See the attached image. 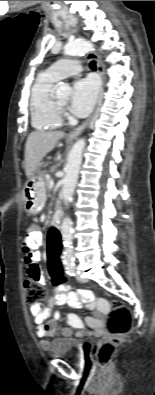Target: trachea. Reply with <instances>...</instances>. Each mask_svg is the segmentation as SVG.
Listing matches in <instances>:
<instances>
[{
	"mask_svg": "<svg viewBox=\"0 0 155 395\" xmlns=\"http://www.w3.org/2000/svg\"><path fill=\"white\" fill-rule=\"evenodd\" d=\"M90 68H91L92 70H95V69H96V62H95V61H91V62H90Z\"/></svg>",
	"mask_w": 155,
	"mask_h": 395,
	"instance_id": "obj_1",
	"label": "trachea"
}]
</instances>
